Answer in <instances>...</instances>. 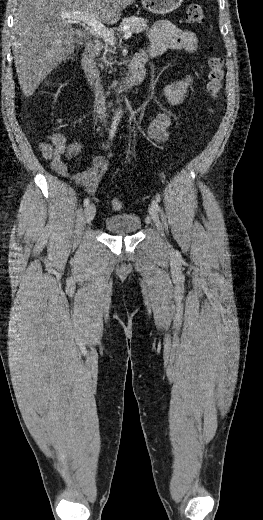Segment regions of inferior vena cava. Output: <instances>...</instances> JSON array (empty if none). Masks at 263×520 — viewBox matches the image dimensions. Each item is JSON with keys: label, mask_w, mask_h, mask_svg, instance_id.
<instances>
[{"label": "inferior vena cava", "mask_w": 263, "mask_h": 520, "mask_svg": "<svg viewBox=\"0 0 263 520\" xmlns=\"http://www.w3.org/2000/svg\"><path fill=\"white\" fill-rule=\"evenodd\" d=\"M102 90V87H100V85L98 84L97 88H96V93H95V103H96V107H97V113L99 115V118L101 119V121L106 118V102H105V96L103 94V91Z\"/></svg>", "instance_id": "obj_1"}]
</instances>
